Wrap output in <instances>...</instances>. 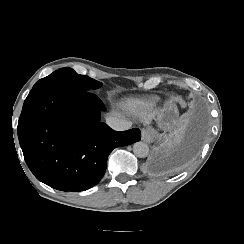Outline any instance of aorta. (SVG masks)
Returning a JSON list of instances; mask_svg holds the SVG:
<instances>
[{"label": "aorta", "mask_w": 244, "mask_h": 244, "mask_svg": "<svg viewBox=\"0 0 244 244\" xmlns=\"http://www.w3.org/2000/svg\"><path fill=\"white\" fill-rule=\"evenodd\" d=\"M133 153L135 156L139 158H145L149 154V147L146 143L144 142H136L133 145Z\"/></svg>", "instance_id": "obj_1"}]
</instances>
